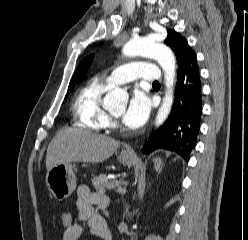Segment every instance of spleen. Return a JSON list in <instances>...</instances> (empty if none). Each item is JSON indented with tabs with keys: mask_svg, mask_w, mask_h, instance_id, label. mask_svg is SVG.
Returning a JSON list of instances; mask_svg holds the SVG:
<instances>
[{
	"mask_svg": "<svg viewBox=\"0 0 248 240\" xmlns=\"http://www.w3.org/2000/svg\"><path fill=\"white\" fill-rule=\"evenodd\" d=\"M154 163H155V169H156V171H158V172L160 173L161 170H162V162H161V159H160V158H155V159H154Z\"/></svg>",
	"mask_w": 248,
	"mask_h": 240,
	"instance_id": "spleen-1",
	"label": "spleen"
}]
</instances>
